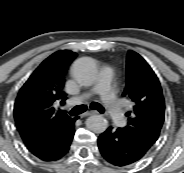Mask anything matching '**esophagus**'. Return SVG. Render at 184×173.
Returning a JSON list of instances; mask_svg holds the SVG:
<instances>
[{"label": "esophagus", "mask_w": 184, "mask_h": 173, "mask_svg": "<svg viewBox=\"0 0 184 173\" xmlns=\"http://www.w3.org/2000/svg\"><path fill=\"white\" fill-rule=\"evenodd\" d=\"M95 114V111H86L80 115L81 118Z\"/></svg>", "instance_id": "34e87169"}]
</instances>
